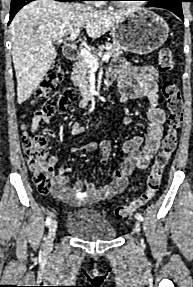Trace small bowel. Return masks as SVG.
<instances>
[{
	"label": "small bowel",
	"instance_id": "obj_1",
	"mask_svg": "<svg viewBox=\"0 0 193 287\" xmlns=\"http://www.w3.org/2000/svg\"><path fill=\"white\" fill-rule=\"evenodd\" d=\"M110 72L119 77L121 101L130 99L145 98L149 102L147 116L149 125L145 137L135 136L126 141L123 145V152L126 157L119 168L113 170L107 183L103 186H95L93 183L76 181L72 182L68 174L71 172L69 167L59 164L57 156H51L50 163L57 168L56 175L52 182L51 194L65 203L73 206L89 205L101 200L110 199L122 192L128 185L129 178L138 169H145L153 155L159 148L163 136L164 122L166 113L158 102V71L151 66L133 67L129 66L121 59L112 62ZM48 122L47 116L36 115L33 118L31 132L34 133L38 127ZM124 123H130L129 118L124 119ZM72 135L78 136L85 132V128L77 122L70 126ZM49 137H53L54 132L48 129ZM101 151V163L106 164L111 154V144L107 140L99 143H85L71 148L72 152ZM86 185L87 192L82 198L76 196V189Z\"/></svg>",
	"mask_w": 193,
	"mask_h": 287
}]
</instances>
